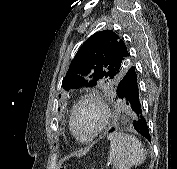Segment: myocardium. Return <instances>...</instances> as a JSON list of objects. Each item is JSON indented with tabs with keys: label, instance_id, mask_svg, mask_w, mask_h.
<instances>
[{
	"label": "myocardium",
	"instance_id": "myocardium-1",
	"mask_svg": "<svg viewBox=\"0 0 177 169\" xmlns=\"http://www.w3.org/2000/svg\"><path fill=\"white\" fill-rule=\"evenodd\" d=\"M85 103H93L100 111L101 114V122L99 127L90 135L84 136L81 135L76 127V114L79 108ZM110 118V112L104 101L95 93H89L81 96L78 101L75 103L71 110L70 115V127L74 135L80 140L89 142L100 135L108 125Z\"/></svg>",
	"mask_w": 177,
	"mask_h": 169
}]
</instances>
